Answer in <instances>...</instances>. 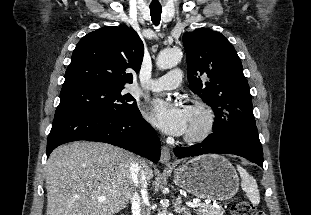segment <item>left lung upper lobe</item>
<instances>
[{
	"label": "left lung upper lobe",
	"instance_id": "left-lung-upper-lobe-1",
	"mask_svg": "<svg viewBox=\"0 0 311 215\" xmlns=\"http://www.w3.org/2000/svg\"><path fill=\"white\" fill-rule=\"evenodd\" d=\"M190 89L214 111L213 132L255 124L249 85L233 45L221 33L199 28L183 35Z\"/></svg>",
	"mask_w": 311,
	"mask_h": 215
}]
</instances>
